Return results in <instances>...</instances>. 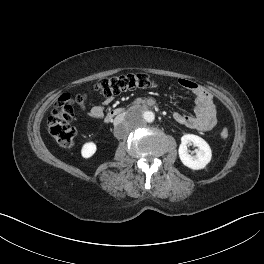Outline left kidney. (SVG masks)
Returning <instances> with one entry per match:
<instances>
[{
    "mask_svg": "<svg viewBox=\"0 0 264 264\" xmlns=\"http://www.w3.org/2000/svg\"><path fill=\"white\" fill-rule=\"evenodd\" d=\"M190 144L198 147L195 156L190 155L188 152V146ZM178 152L182 163L193 170L205 168L212 157L209 144L203 138L194 134H185L181 137V144Z\"/></svg>",
    "mask_w": 264,
    "mask_h": 264,
    "instance_id": "1",
    "label": "left kidney"
}]
</instances>
